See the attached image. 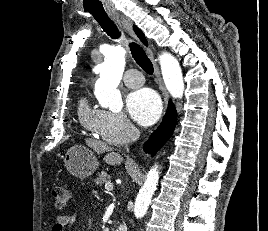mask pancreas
Wrapping results in <instances>:
<instances>
[{"instance_id": "obj_1", "label": "pancreas", "mask_w": 268, "mask_h": 231, "mask_svg": "<svg viewBox=\"0 0 268 231\" xmlns=\"http://www.w3.org/2000/svg\"><path fill=\"white\" fill-rule=\"evenodd\" d=\"M108 178V174L105 171H102L101 173H98L95 182L97 185L101 186L103 183L107 182Z\"/></svg>"}]
</instances>
